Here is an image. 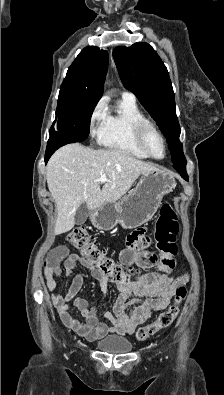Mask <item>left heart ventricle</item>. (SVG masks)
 <instances>
[{"label":"left heart ventricle","instance_id":"obj_1","mask_svg":"<svg viewBox=\"0 0 224 395\" xmlns=\"http://www.w3.org/2000/svg\"><path fill=\"white\" fill-rule=\"evenodd\" d=\"M147 145L149 150L156 157H162L164 155V147L161 139L153 132L147 134Z\"/></svg>","mask_w":224,"mask_h":395}]
</instances>
